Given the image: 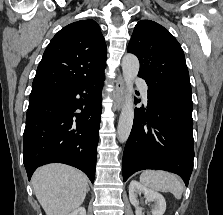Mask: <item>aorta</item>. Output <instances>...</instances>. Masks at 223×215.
Wrapping results in <instances>:
<instances>
[{
    "label": "aorta",
    "mask_w": 223,
    "mask_h": 215,
    "mask_svg": "<svg viewBox=\"0 0 223 215\" xmlns=\"http://www.w3.org/2000/svg\"><path fill=\"white\" fill-rule=\"evenodd\" d=\"M140 64L138 58L133 56V54H126L122 58V72L124 82L126 84V100L124 102V106L120 113L118 127H117V135L119 141H126L130 135V131L133 125L134 119V108H133V84L135 78H137V74L139 72Z\"/></svg>",
    "instance_id": "1"
}]
</instances>
